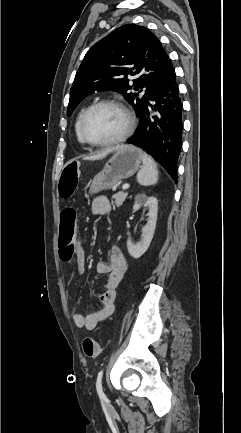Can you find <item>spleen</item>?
<instances>
[{
  "instance_id": "1",
  "label": "spleen",
  "mask_w": 241,
  "mask_h": 433,
  "mask_svg": "<svg viewBox=\"0 0 241 433\" xmlns=\"http://www.w3.org/2000/svg\"><path fill=\"white\" fill-rule=\"evenodd\" d=\"M143 166L137 174V181L142 186L155 185L158 182V169L154 160L146 153L142 154Z\"/></svg>"
}]
</instances>
